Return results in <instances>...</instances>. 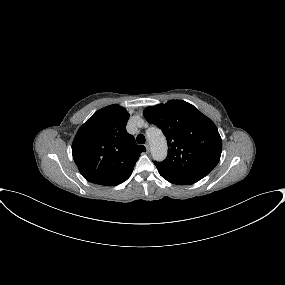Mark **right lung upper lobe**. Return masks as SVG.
<instances>
[{"label": "right lung upper lobe", "instance_id": "1", "mask_svg": "<svg viewBox=\"0 0 285 285\" xmlns=\"http://www.w3.org/2000/svg\"><path fill=\"white\" fill-rule=\"evenodd\" d=\"M129 114L114 104L95 112L78 130L72 155L82 176L94 184L115 186L126 181L146 151L126 131Z\"/></svg>", "mask_w": 285, "mask_h": 285}]
</instances>
